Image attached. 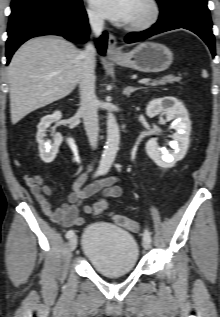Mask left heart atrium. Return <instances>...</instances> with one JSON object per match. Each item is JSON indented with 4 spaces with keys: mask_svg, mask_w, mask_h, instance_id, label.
Here are the masks:
<instances>
[{
    "mask_svg": "<svg viewBox=\"0 0 220 317\" xmlns=\"http://www.w3.org/2000/svg\"><path fill=\"white\" fill-rule=\"evenodd\" d=\"M136 0H90L105 18L118 23H129Z\"/></svg>",
    "mask_w": 220,
    "mask_h": 317,
    "instance_id": "39dd6f15",
    "label": "left heart atrium"
}]
</instances>
